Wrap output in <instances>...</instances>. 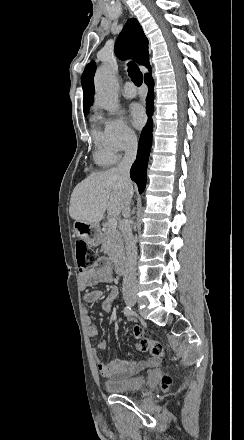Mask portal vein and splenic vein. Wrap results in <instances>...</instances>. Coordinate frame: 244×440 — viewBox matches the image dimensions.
<instances>
[{
	"label": "portal vein and splenic vein",
	"instance_id": "portal-vein-and-splenic-vein-1",
	"mask_svg": "<svg viewBox=\"0 0 244 440\" xmlns=\"http://www.w3.org/2000/svg\"><path fill=\"white\" fill-rule=\"evenodd\" d=\"M108 228H110V230H116L117 228L116 218H108Z\"/></svg>",
	"mask_w": 244,
	"mask_h": 440
}]
</instances>
